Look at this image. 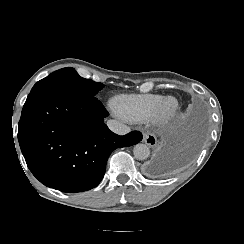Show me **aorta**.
I'll return each instance as SVG.
<instances>
[{
  "label": "aorta",
  "instance_id": "obj_1",
  "mask_svg": "<svg viewBox=\"0 0 244 244\" xmlns=\"http://www.w3.org/2000/svg\"><path fill=\"white\" fill-rule=\"evenodd\" d=\"M133 154L136 159L145 160L149 157L150 150L147 145L139 143L134 146Z\"/></svg>",
  "mask_w": 244,
  "mask_h": 244
}]
</instances>
